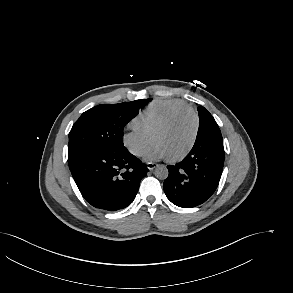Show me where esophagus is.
<instances>
[{
	"label": "esophagus",
	"instance_id": "esophagus-1",
	"mask_svg": "<svg viewBox=\"0 0 293 293\" xmlns=\"http://www.w3.org/2000/svg\"><path fill=\"white\" fill-rule=\"evenodd\" d=\"M156 166H157V164H155V163H152V162L147 163V168L149 170H153L154 168H156Z\"/></svg>",
	"mask_w": 293,
	"mask_h": 293
}]
</instances>
